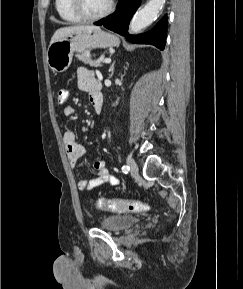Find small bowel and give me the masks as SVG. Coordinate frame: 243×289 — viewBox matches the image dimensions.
<instances>
[{
	"label": "small bowel",
	"mask_w": 243,
	"mask_h": 289,
	"mask_svg": "<svg viewBox=\"0 0 243 289\" xmlns=\"http://www.w3.org/2000/svg\"><path fill=\"white\" fill-rule=\"evenodd\" d=\"M77 85L80 90L88 92L93 110L96 113H99L96 108L94 92L96 88L100 87V82L96 78L94 72L85 67L78 68ZM63 112L66 117H72L75 114V109L72 106H66ZM63 142L68 160L72 166H75L84 156V148L77 142L76 135L72 130H67L64 132ZM94 170L97 174L95 178L91 180L81 179L78 181L77 186L79 190L89 191L106 184H111L114 186L120 185V180L111 175L108 171L105 161H96L94 163Z\"/></svg>",
	"instance_id": "c3829d8e"
}]
</instances>
